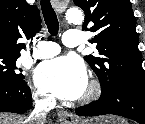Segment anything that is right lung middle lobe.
Listing matches in <instances>:
<instances>
[{
    "mask_svg": "<svg viewBox=\"0 0 145 124\" xmlns=\"http://www.w3.org/2000/svg\"><path fill=\"white\" fill-rule=\"evenodd\" d=\"M19 56L0 52V79L12 81L24 80V76L19 73L22 70L16 66V60Z\"/></svg>",
    "mask_w": 145,
    "mask_h": 124,
    "instance_id": "1",
    "label": "right lung middle lobe"
}]
</instances>
